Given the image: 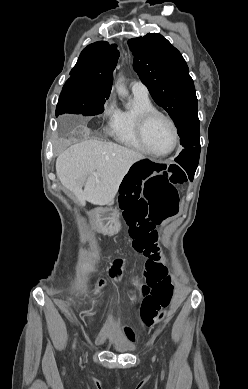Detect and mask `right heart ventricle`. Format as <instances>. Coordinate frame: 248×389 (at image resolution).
I'll list each match as a JSON object with an SVG mask.
<instances>
[{"label":"right heart ventricle","instance_id":"obj_1","mask_svg":"<svg viewBox=\"0 0 248 389\" xmlns=\"http://www.w3.org/2000/svg\"><path fill=\"white\" fill-rule=\"evenodd\" d=\"M132 107L116 109L111 124V135L119 143L132 149L145 152L136 132L137 118L143 111L153 109L154 106L148 97L133 94Z\"/></svg>","mask_w":248,"mask_h":389}]
</instances>
